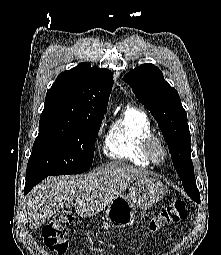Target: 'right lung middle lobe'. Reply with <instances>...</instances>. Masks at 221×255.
I'll return each mask as SVG.
<instances>
[{
  "instance_id": "right-lung-middle-lobe-1",
  "label": "right lung middle lobe",
  "mask_w": 221,
  "mask_h": 255,
  "mask_svg": "<svg viewBox=\"0 0 221 255\" xmlns=\"http://www.w3.org/2000/svg\"><path fill=\"white\" fill-rule=\"evenodd\" d=\"M105 111L88 119L42 118L26 176L77 174L93 161L95 139Z\"/></svg>"
}]
</instances>
